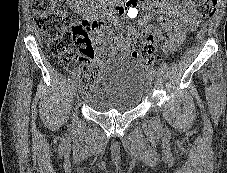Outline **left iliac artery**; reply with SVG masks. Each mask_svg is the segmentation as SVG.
<instances>
[{
	"label": "left iliac artery",
	"instance_id": "left-iliac-artery-1",
	"mask_svg": "<svg viewBox=\"0 0 227 173\" xmlns=\"http://www.w3.org/2000/svg\"><path fill=\"white\" fill-rule=\"evenodd\" d=\"M148 73L151 74L152 76H155L156 70L153 67L148 68Z\"/></svg>",
	"mask_w": 227,
	"mask_h": 173
}]
</instances>
